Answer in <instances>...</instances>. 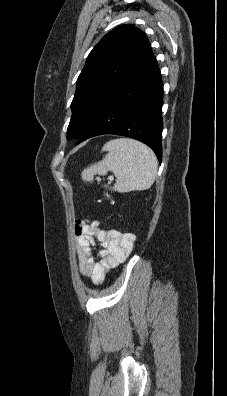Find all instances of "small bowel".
<instances>
[{
  "label": "small bowel",
  "mask_w": 227,
  "mask_h": 396,
  "mask_svg": "<svg viewBox=\"0 0 227 396\" xmlns=\"http://www.w3.org/2000/svg\"><path fill=\"white\" fill-rule=\"evenodd\" d=\"M75 235L79 271L95 284H101L113 268L129 257L136 241L133 233L106 230L98 221L78 220ZM96 243L101 246L97 261L92 255Z\"/></svg>",
  "instance_id": "small-bowel-1"
}]
</instances>
